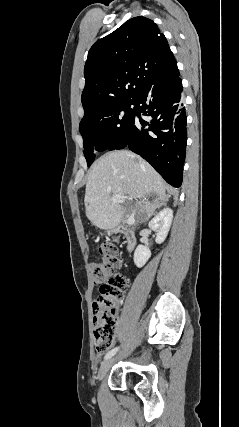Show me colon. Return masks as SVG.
I'll return each instance as SVG.
<instances>
[{"mask_svg": "<svg viewBox=\"0 0 239 427\" xmlns=\"http://www.w3.org/2000/svg\"><path fill=\"white\" fill-rule=\"evenodd\" d=\"M118 239L99 246L100 259L91 262L90 271L98 296L93 303L94 336L97 351L105 352L114 342L116 307L127 286L126 278L117 271L119 266Z\"/></svg>", "mask_w": 239, "mask_h": 427, "instance_id": "colon-1", "label": "colon"}]
</instances>
